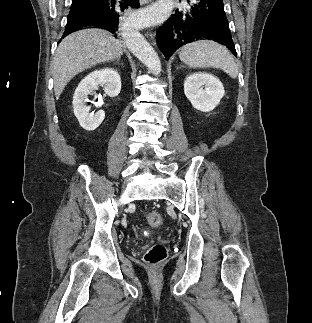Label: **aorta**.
<instances>
[{
	"instance_id": "1",
	"label": "aorta",
	"mask_w": 312,
	"mask_h": 323,
	"mask_svg": "<svg viewBox=\"0 0 312 323\" xmlns=\"http://www.w3.org/2000/svg\"><path fill=\"white\" fill-rule=\"evenodd\" d=\"M124 40L133 56H136L142 64H145L146 68L151 70L152 74L158 76L161 72V62L158 54H156L149 42H146L144 36L138 30H129V32L125 30Z\"/></svg>"
}]
</instances>
